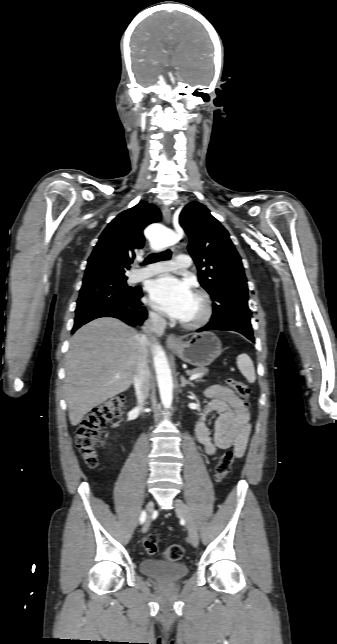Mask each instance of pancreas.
<instances>
[{
    "label": "pancreas",
    "mask_w": 337,
    "mask_h": 644,
    "mask_svg": "<svg viewBox=\"0 0 337 644\" xmlns=\"http://www.w3.org/2000/svg\"><path fill=\"white\" fill-rule=\"evenodd\" d=\"M207 372H208V370H207V369H205V368H202V369H201V368H197V369H193V370H188V371H186V373H187L188 375H193V374H201V375H204V374H205V373H207Z\"/></svg>",
    "instance_id": "obj_1"
}]
</instances>
